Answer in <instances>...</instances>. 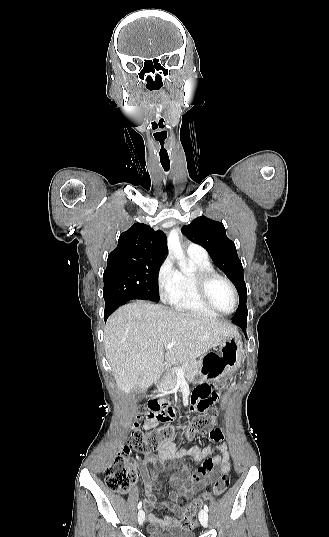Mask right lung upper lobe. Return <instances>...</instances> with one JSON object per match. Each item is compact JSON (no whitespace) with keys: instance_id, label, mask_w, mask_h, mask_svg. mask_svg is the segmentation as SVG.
<instances>
[{"instance_id":"obj_1","label":"right lung upper lobe","mask_w":329,"mask_h":537,"mask_svg":"<svg viewBox=\"0 0 329 537\" xmlns=\"http://www.w3.org/2000/svg\"><path fill=\"white\" fill-rule=\"evenodd\" d=\"M166 242V235L161 230L135 223L120 235L117 247L108 256L107 267L163 262Z\"/></svg>"}]
</instances>
